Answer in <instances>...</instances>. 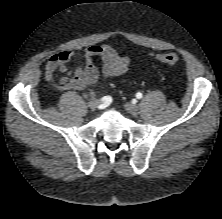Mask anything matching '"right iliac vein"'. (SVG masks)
I'll list each match as a JSON object with an SVG mask.
<instances>
[{
  "label": "right iliac vein",
  "mask_w": 222,
  "mask_h": 219,
  "mask_svg": "<svg viewBox=\"0 0 222 219\" xmlns=\"http://www.w3.org/2000/svg\"><path fill=\"white\" fill-rule=\"evenodd\" d=\"M100 104V102L98 100H92L88 103V107L91 109V110H95L98 105Z\"/></svg>",
  "instance_id": "obj_1"
}]
</instances>
